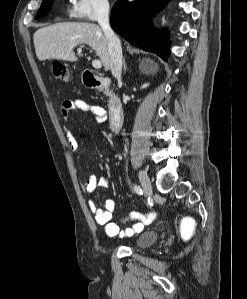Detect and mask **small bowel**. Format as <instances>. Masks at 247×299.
Here are the masks:
<instances>
[{
	"label": "small bowel",
	"instance_id": "small-bowel-1",
	"mask_svg": "<svg viewBox=\"0 0 247 299\" xmlns=\"http://www.w3.org/2000/svg\"><path fill=\"white\" fill-rule=\"evenodd\" d=\"M72 110H80L86 113H90L98 122L106 120L107 114L103 107L90 104L81 99L64 100L61 105V116L64 121H67L69 114ZM66 140L70 148L74 151L78 150L79 144L70 130L65 131ZM110 181L107 177H97L95 174H90L89 177L82 183V190L85 194H91L97 187L108 188ZM89 209L94 216V220L97 224L104 227V231L109 237H122L132 236L144 228L145 225L150 224L156 217L155 211H150L148 214H142L137 211L131 212L129 215L121 219V223H127L128 221L135 220L136 223L132 228H127L125 231H121L117 223L112 221L113 212L116 208V203L113 199H107L104 202V208L101 209L98 205L90 201Z\"/></svg>",
	"mask_w": 247,
	"mask_h": 299
}]
</instances>
